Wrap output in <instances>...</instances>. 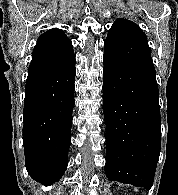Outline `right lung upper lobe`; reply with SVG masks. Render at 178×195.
<instances>
[{"label":"right lung upper lobe","instance_id":"cb5924a9","mask_svg":"<svg viewBox=\"0 0 178 195\" xmlns=\"http://www.w3.org/2000/svg\"><path fill=\"white\" fill-rule=\"evenodd\" d=\"M73 61L75 56L70 39L62 30L54 28L39 36L28 72L63 67Z\"/></svg>","mask_w":178,"mask_h":195}]
</instances>
